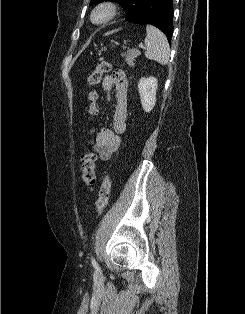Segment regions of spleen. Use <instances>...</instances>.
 Here are the masks:
<instances>
[{"label": "spleen", "instance_id": "3e777b00", "mask_svg": "<svg viewBox=\"0 0 245 314\" xmlns=\"http://www.w3.org/2000/svg\"><path fill=\"white\" fill-rule=\"evenodd\" d=\"M145 37V56L162 65L169 62L170 47L166 36L156 27L147 25Z\"/></svg>", "mask_w": 245, "mask_h": 314}]
</instances>
